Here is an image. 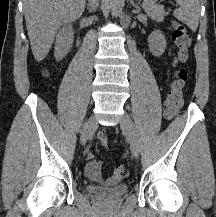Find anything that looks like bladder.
Masks as SVG:
<instances>
[{"label":"bladder","instance_id":"31cf9c89","mask_svg":"<svg viewBox=\"0 0 216 217\" xmlns=\"http://www.w3.org/2000/svg\"><path fill=\"white\" fill-rule=\"evenodd\" d=\"M85 190L91 196L106 202L112 203L120 200L128 193V186L126 184H117L109 188H98L94 185H86Z\"/></svg>","mask_w":216,"mask_h":217}]
</instances>
